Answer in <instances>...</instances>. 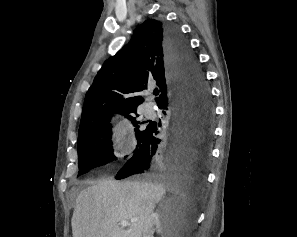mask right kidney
Instances as JSON below:
<instances>
[{"instance_id": "ca27d5eb", "label": "right kidney", "mask_w": 297, "mask_h": 237, "mask_svg": "<svg viewBox=\"0 0 297 237\" xmlns=\"http://www.w3.org/2000/svg\"><path fill=\"white\" fill-rule=\"evenodd\" d=\"M161 216L158 212H153L149 215L145 222L143 237H154L155 228L163 232V237H172V234L167 231L163 222H161Z\"/></svg>"}]
</instances>
